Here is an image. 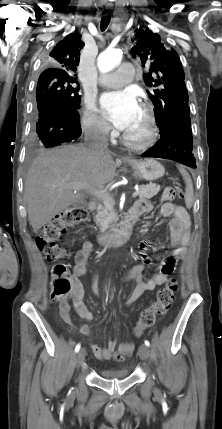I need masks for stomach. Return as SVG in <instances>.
Wrapping results in <instances>:
<instances>
[{"label": "stomach", "mask_w": 222, "mask_h": 429, "mask_svg": "<svg viewBox=\"0 0 222 429\" xmlns=\"http://www.w3.org/2000/svg\"><path fill=\"white\" fill-rule=\"evenodd\" d=\"M128 164L141 179L146 181L157 180L165 173L163 165L154 159H146L143 161L128 160Z\"/></svg>", "instance_id": "obj_1"}]
</instances>
